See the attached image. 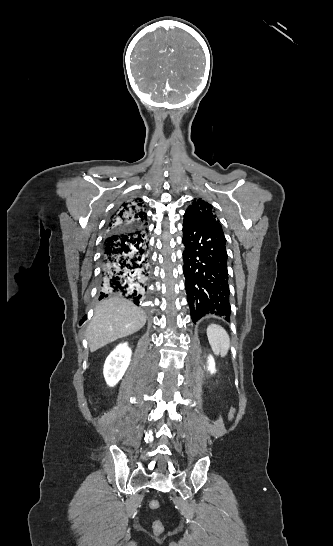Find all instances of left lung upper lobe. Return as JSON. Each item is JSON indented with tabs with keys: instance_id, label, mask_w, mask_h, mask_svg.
I'll list each match as a JSON object with an SVG mask.
<instances>
[{
	"instance_id": "1",
	"label": "left lung upper lobe",
	"mask_w": 333,
	"mask_h": 546,
	"mask_svg": "<svg viewBox=\"0 0 333 546\" xmlns=\"http://www.w3.org/2000/svg\"><path fill=\"white\" fill-rule=\"evenodd\" d=\"M184 215L191 216L201 221H213L220 223L212 210V205L201 199L193 200L192 204L188 207Z\"/></svg>"
}]
</instances>
